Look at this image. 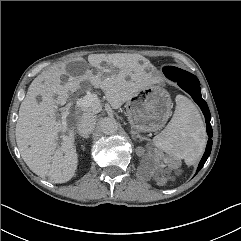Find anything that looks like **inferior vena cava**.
Listing matches in <instances>:
<instances>
[{"label": "inferior vena cava", "mask_w": 241, "mask_h": 241, "mask_svg": "<svg viewBox=\"0 0 241 241\" xmlns=\"http://www.w3.org/2000/svg\"><path fill=\"white\" fill-rule=\"evenodd\" d=\"M95 125L96 115L92 112H84L77 123V129L80 134L88 135L93 132Z\"/></svg>", "instance_id": "1"}]
</instances>
